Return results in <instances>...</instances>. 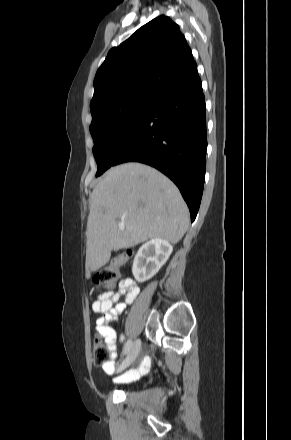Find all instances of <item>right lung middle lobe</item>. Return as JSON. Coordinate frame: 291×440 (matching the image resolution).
<instances>
[{"mask_svg": "<svg viewBox=\"0 0 291 440\" xmlns=\"http://www.w3.org/2000/svg\"><path fill=\"white\" fill-rule=\"evenodd\" d=\"M153 102V96H139L102 104L91 110L90 133L98 167L96 176L112 166L118 152L145 120Z\"/></svg>", "mask_w": 291, "mask_h": 440, "instance_id": "dd1d6c3e", "label": "right lung middle lobe"}]
</instances>
